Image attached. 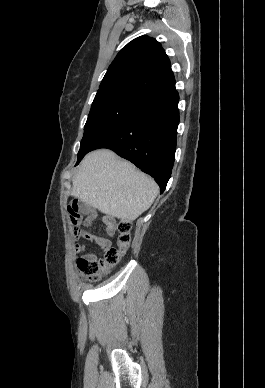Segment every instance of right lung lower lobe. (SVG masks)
<instances>
[{
  "mask_svg": "<svg viewBox=\"0 0 265 388\" xmlns=\"http://www.w3.org/2000/svg\"><path fill=\"white\" fill-rule=\"evenodd\" d=\"M178 102L175 87L148 98L128 119L100 139L92 150H113L151 175L163 193L175 160Z\"/></svg>",
  "mask_w": 265,
  "mask_h": 388,
  "instance_id": "obj_1",
  "label": "right lung lower lobe"
}]
</instances>
